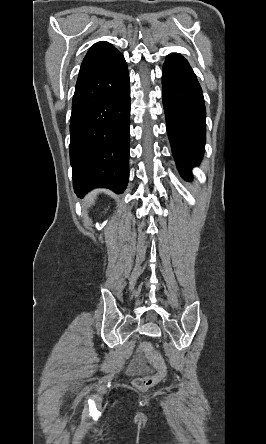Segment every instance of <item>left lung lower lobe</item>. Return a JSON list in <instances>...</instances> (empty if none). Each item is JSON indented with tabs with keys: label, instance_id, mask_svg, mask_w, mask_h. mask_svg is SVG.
<instances>
[{
	"label": "left lung lower lobe",
	"instance_id": "obj_1",
	"mask_svg": "<svg viewBox=\"0 0 266 444\" xmlns=\"http://www.w3.org/2000/svg\"><path fill=\"white\" fill-rule=\"evenodd\" d=\"M162 98L173 156L181 176L191 180L204 153L206 110L196 75L177 53L168 55L163 65Z\"/></svg>",
	"mask_w": 266,
	"mask_h": 444
}]
</instances>
